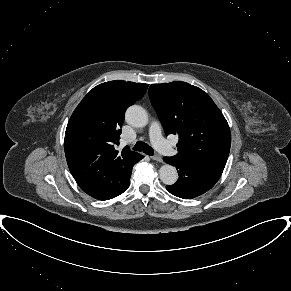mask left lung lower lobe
Masks as SVG:
<instances>
[{
	"mask_svg": "<svg viewBox=\"0 0 291 291\" xmlns=\"http://www.w3.org/2000/svg\"><path fill=\"white\" fill-rule=\"evenodd\" d=\"M164 161L176 167L179 179L166 189L171 194L192 199L211 189L219 180L225 165L208 162L188 161L175 156L164 157Z\"/></svg>",
	"mask_w": 291,
	"mask_h": 291,
	"instance_id": "obj_1",
	"label": "left lung lower lobe"
}]
</instances>
